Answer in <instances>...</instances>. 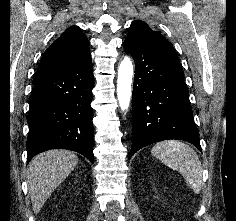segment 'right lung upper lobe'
<instances>
[{"instance_id":"obj_1","label":"right lung upper lobe","mask_w":236,"mask_h":221,"mask_svg":"<svg viewBox=\"0 0 236 221\" xmlns=\"http://www.w3.org/2000/svg\"><path fill=\"white\" fill-rule=\"evenodd\" d=\"M89 63H91L89 41L79 27L71 26L44 52L36 77L66 71Z\"/></svg>"}]
</instances>
